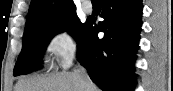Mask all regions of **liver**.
I'll return each mask as SVG.
<instances>
[{"instance_id": "6515ba94", "label": "liver", "mask_w": 173, "mask_h": 91, "mask_svg": "<svg viewBox=\"0 0 173 91\" xmlns=\"http://www.w3.org/2000/svg\"><path fill=\"white\" fill-rule=\"evenodd\" d=\"M83 86L76 72H62L45 77L23 78L17 82L14 91H100L90 80Z\"/></svg>"}]
</instances>
